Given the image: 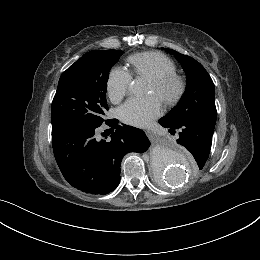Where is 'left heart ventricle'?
<instances>
[{
  "label": "left heart ventricle",
  "mask_w": 260,
  "mask_h": 260,
  "mask_svg": "<svg viewBox=\"0 0 260 260\" xmlns=\"http://www.w3.org/2000/svg\"><path fill=\"white\" fill-rule=\"evenodd\" d=\"M150 92H154V86L152 83L150 84Z\"/></svg>",
  "instance_id": "obj_1"
}]
</instances>
